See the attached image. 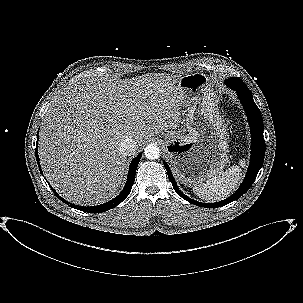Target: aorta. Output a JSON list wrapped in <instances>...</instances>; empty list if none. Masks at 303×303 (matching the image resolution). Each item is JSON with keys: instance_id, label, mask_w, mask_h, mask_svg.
<instances>
[{"instance_id": "1", "label": "aorta", "mask_w": 303, "mask_h": 303, "mask_svg": "<svg viewBox=\"0 0 303 303\" xmlns=\"http://www.w3.org/2000/svg\"><path fill=\"white\" fill-rule=\"evenodd\" d=\"M145 157L149 160L158 159L160 156V148L157 144H148L144 149Z\"/></svg>"}]
</instances>
